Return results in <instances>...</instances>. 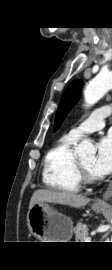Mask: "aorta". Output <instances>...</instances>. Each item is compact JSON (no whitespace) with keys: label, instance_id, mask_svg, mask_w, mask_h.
<instances>
[{"label":"aorta","instance_id":"obj_1","mask_svg":"<svg viewBox=\"0 0 112 270\" xmlns=\"http://www.w3.org/2000/svg\"><path fill=\"white\" fill-rule=\"evenodd\" d=\"M112 89V72L100 73L92 79L84 90L85 106L90 107ZM80 158L92 156L96 150L89 139H84L75 149Z\"/></svg>","mask_w":112,"mask_h":270}]
</instances>
